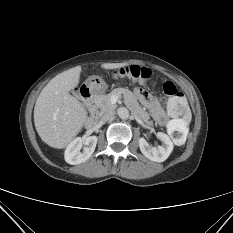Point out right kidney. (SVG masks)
<instances>
[{"instance_id": "1", "label": "right kidney", "mask_w": 233, "mask_h": 233, "mask_svg": "<svg viewBox=\"0 0 233 233\" xmlns=\"http://www.w3.org/2000/svg\"><path fill=\"white\" fill-rule=\"evenodd\" d=\"M97 141L98 138L96 136L75 138L65 150V161L71 165L85 162L93 154ZM83 145H85L83 152H80Z\"/></svg>"}]
</instances>
